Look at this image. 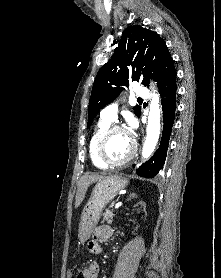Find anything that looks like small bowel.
Returning a JSON list of instances; mask_svg holds the SVG:
<instances>
[{
	"mask_svg": "<svg viewBox=\"0 0 221 278\" xmlns=\"http://www.w3.org/2000/svg\"><path fill=\"white\" fill-rule=\"evenodd\" d=\"M96 239L98 240H106L112 236V229L108 226H100L95 232ZM89 248L94 252H99L100 247L96 242H90ZM85 272L87 278H97L99 273V266L96 262H91L86 268Z\"/></svg>",
	"mask_w": 221,
	"mask_h": 278,
	"instance_id": "small-bowel-1",
	"label": "small bowel"
}]
</instances>
